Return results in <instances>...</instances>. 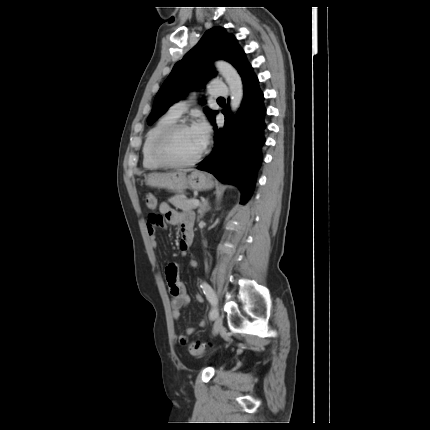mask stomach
Masks as SVG:
<instances>
[{
  "label": "stomach",
  "mask_w": 430,
  "mask_h": 430,
  "mask_svg": "<svg viewBox=\"0 0 430 430\" xmlns=\"http://www.w3.org/2000/svg\"><path fill=\"white\" fill-rule=\"evenodd\" d=\"M145 183L151 187L165 188L178 193H182L186 188L202 191L214 185L211 177L201 171H193L188 176L182 171L150 173L145 177Z\"/></svg>",
  "instance_id": "0dacf381"
}]
</instances>
